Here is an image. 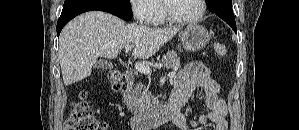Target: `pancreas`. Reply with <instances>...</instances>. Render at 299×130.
<instances>
[{
  "mask_svg": "<svg viewBox=\"0 0 299 130\" xmlns=\"http://www.w3.org/2000/svg\"><path fill=\"white\" fill-rule=\"evenodd\" d=\"M162 62L166 68L178 70L180 68V60L175 51H170L163 56ZM127 106L135 116H143L150 112L152 104L155 103L153 96L148 87L141 83L137 84L134 89H129L125 95Z\"/></svg>",
  "mask_w": 299,
  "mask_h": 130,
  "instance_id": "obj_1",
  "label": "pancreas"
}]
</instances>
